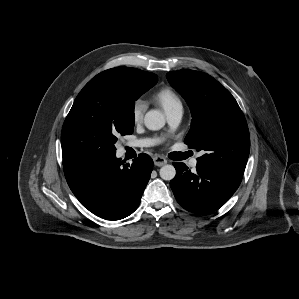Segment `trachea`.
I'll return each instance as SVG.
<instances>
[{
    "label": "trachea",
    "instance_id": "1",
    "mask_svg": "<svg viewBox=\"0 0 299 299\" xmlns=\"http://www.w3.org/2000/svg\"><path fill=\"white\" fill-rule=\"evenodd\" d=\"M189 156H190V154L188 152H185V153L175 152V153H173V159L174 160H183V159H186Z\"/></svg>",
    "mask_w": 299,
    "mask_h": 299
}]
</instances>
